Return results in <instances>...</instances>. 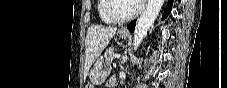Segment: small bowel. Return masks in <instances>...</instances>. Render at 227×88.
<instances>
[{
	"label": "small bowel",
	"mask_w": 227,
	"mask_h": 88,
	"mask_svg": "<svg viewBox=\"0 0 227 88\" xmlns=\"http://www.w3.org/2000/svg\"><path fill=\"white\" fill-rule=\"evenodd\" d=\"M114 84V79H111L109 82H108V85L109 86H112Z\"/></svg>",
	"instance_id": "obj_1"
}]
</instances>
